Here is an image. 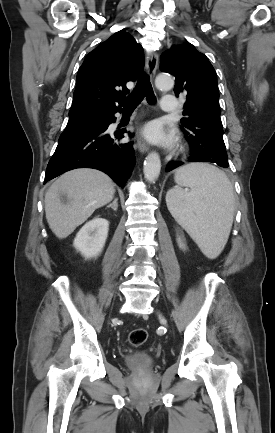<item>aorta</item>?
I'll return each instance as SVG.
<instances>
[{"mask_svg":"<svg viewBox=\"0 0 275 433\" xmlns=\"http://www.w3.org/2000/svg\"><path fill=\"white\" fill-rule=\"evenodd\" d=\"M155 84L159 89H171L174 86V80L169 74H159L155 79ZM161 160L156 152H151L146 157L144 163V175L149 182H154L160 175Z\"/></svg>","mask_w":275,"mask_h":433,"instance_id":"aorta-1","label":"aorta"}]
</instances>
